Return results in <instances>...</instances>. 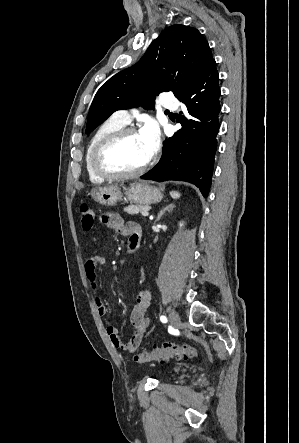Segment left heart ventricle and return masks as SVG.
<instances>
[{
	"instance_id": "1",
	"label": "left heart ventricle",
	"mask_w": 299,
	"mask_h": 443,
	"mask_svg": "<svg viewBox=\"0 0 299 443\" xmlns=\"http://www.w3.org/2000/svg\"><path fill=\"white\" fill-rule=\"evenodd\" d=\"M106 164L115 171H131L147 160L146 147L139 134H132L113 145L105 154Z\"/></svg>"
}]
</instances>
